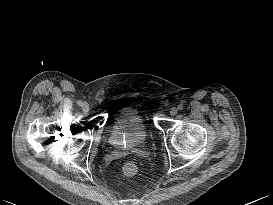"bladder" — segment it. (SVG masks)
Instances as JSON below:
<instances>
[{
	"label": "bladder",
	"mask_w": 273,
	"mask_h": 205,
	"mask_svg": "<svg viewBox=\"0 0 273 205\" xmlns=\"http://www.w3.org/2000/svg\"><path fill=\"white\" fill-rule=\"evenodd\" d=\"M149 137L145 116L137 107L129 106L113 114L108 142L118 150H129L143 145Z\"/></svg>",
	"instance_id": "obj_1"
}]
</instances>
